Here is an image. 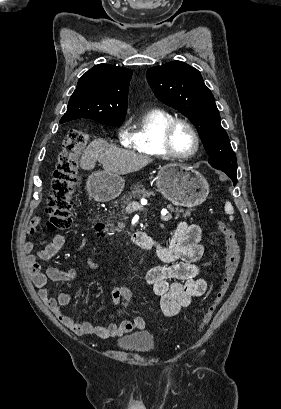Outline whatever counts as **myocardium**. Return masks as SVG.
Here are the masks:
<instances>
[{"mask_svg": "<svg viewBox=\"0 0 281 409\" xmlns=\"http://www.w3.org/2000/svg\"><path fill=\"white\" fill-rule=\"evenodd\" d=\"M183 126L189 130L192 134L194 139V149L192 152L188 154H180L178 153L173 144L174 134L178 127ZM163 147L166 153L173 158L185 160L193 157L199 150L200 147V138L197 130L195 127L186 119L183 118H176L172 120L165 128L164 135H163Z\"/></svg>", "mask_w": 281, "mask_h": 409, "instance_id": "f54148a6", "label": "myocardium"}]
</instances>
